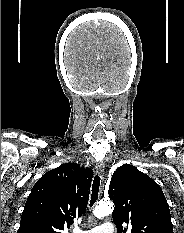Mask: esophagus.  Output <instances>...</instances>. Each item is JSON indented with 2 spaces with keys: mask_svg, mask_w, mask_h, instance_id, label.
Wrapping results in <instances>:
<instances>
[{
  "mask_svg": "<svg viewBox=\"0 0 184 233\" xmlns=\"http://www.w3.org/2000/svg\"><path fill=\"white\" fill-rule=\"evenodd\" d=\"M105 165L102 161L96 163V172L98 175L102 176L104 173Z\"/></svg>",
  "mask_w": 184,
  "mask_h": 233,
  "instance_id": "34e87169",
  "label": "esophagus"
}]
</instances>
